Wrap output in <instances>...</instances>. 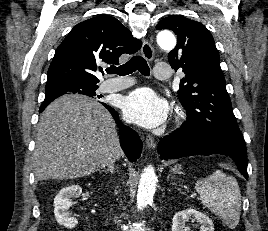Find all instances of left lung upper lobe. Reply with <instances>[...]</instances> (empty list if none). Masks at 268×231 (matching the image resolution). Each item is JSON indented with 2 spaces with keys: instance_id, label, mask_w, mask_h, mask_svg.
Here are the masks:
<instances>
[{
  "instance_id": "1",
  "label": "left lung upper lobe",
  "mask_w": 268,
  "mask_h": 231,
  "mask_svg": "<svg viewBox=\"0 0 268 231\" xmlns=\"http://www.w3.org/2000/svg\"><path fill=\"white\" fill-rule=\"evenodd\" d=\"M156 29H170L178 38L168 60L172 68H182L186 74L178 91L188 115L182 126L245 143L233 114L211 33L202 23L177 15L162 19Z\"/></svg>"
}]
</instances>
